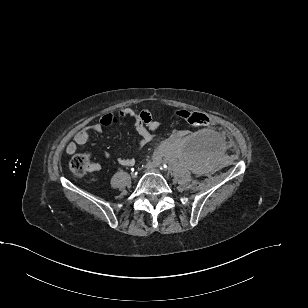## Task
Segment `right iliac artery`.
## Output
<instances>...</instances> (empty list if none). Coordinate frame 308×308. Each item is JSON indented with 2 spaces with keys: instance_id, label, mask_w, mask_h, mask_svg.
<instances>
[{
  "instance_id": "1",
  "label": "right iliac artery",
  "mask_w": 308,
  "mask_h": 308,
  "mask_svg": "<svg viewBox=\"0 0 308 308\" xmlns=\"http://www.w3.org/2000/svg\"><path fill=\"white\" fill-rule=\"evenodd\" d=\"M131 171L134 172V168H132ZM135 174H137V173H135Z\"/></svg>"
}]
</instances>
